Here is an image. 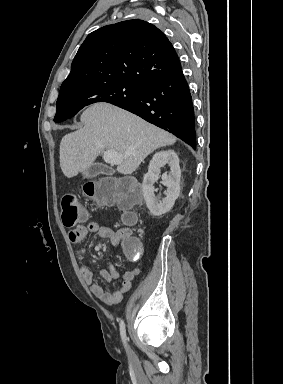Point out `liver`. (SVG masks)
<instances>
[{"instance_id":"1","label":"liver","mask_w":283,"mask_h":384,"mask_svg":"<svg viewBox=\"0 0 283 384\" xmlns=\"http://www.w3.org/2000/svg\"><path fill=\"white\" fill-rule=\"evenodd\" d=\"M80 120L83 128L66 134L60 142V168L66 178L88 170L105 150L126 156L117 172L133 174L154 150L176 142L169 132L105 102L89 106Z\"/></svg>"}]
</instances>
